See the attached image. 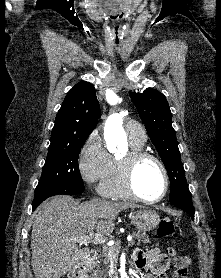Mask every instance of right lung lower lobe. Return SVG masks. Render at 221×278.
<instances>
[{
  "label": "right lung lower lobe",
  "mask_w": 221,
  "mask_h": 278,
  "mask_svg": "<svg viewBox=\"0 0 221 278\" xmlns=\"http://www.w3.org/2000/svg\"><path fill=\"white\" fill-rule=\"evenodd\" d=\"M84 189H79V188H73V187H60L57 188L51 192H49L44 198L38 201H34L32 204V210H35L39 204H41L45 199L48 197L58 195V194H65V195H74V194H79L82 193Z\"/></svg>",
  "instance_id": "1"
}]
</instances>
